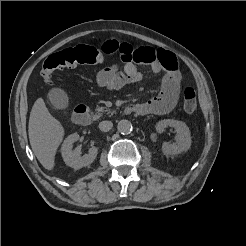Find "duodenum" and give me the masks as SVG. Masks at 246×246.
I'll return each instance as SVG.
<instances>
[{"mask_svg":"<svg viewBox=\"0 0 246 246\" xmlns=\"http://www.w3.org/2000/svg\"><path fill=\"white\" fill-rule=\"evenodd\" d=\"M138 105L131 104L126 108L127 113L138 112ZM73 122L78 126H86L91 121V113L85 105H79L75 108V111L72 116Z\"/></svg>","mask_w":246,"mask_h":246,"instance_id":"duodenum-1","label":"duodenum"}]
</instances>
